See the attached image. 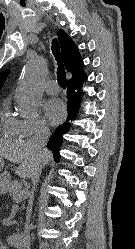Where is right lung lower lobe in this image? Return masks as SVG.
<instances>
[{"label": "right lung lower lobe", "mask_w": 135, "mask_h": 249, "mask_svg": "<svg viewBox=\"0 0 135 249\" xmlns=\"http://www.w3.org/2000/svg\"><path fill=\"white\" fill-rule=\"evenodd\" d=\"M87 79L86 75L78 78L76 80L67 81V98H68V119L67 121L60 125L56 131L51 135L47 147L52 150L54 158L56 161L60 158L59 150L62 144V135L66 133V131L70 127L69 120H73L76 118L81 101L80 89L82 87V83ZM75 90H78L75 92Z\"/></svg>", "instance_id": "1"}]
</instances>
